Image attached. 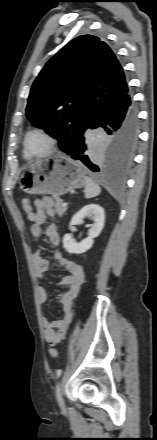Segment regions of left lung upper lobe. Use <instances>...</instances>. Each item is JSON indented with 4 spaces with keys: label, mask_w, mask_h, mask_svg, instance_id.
I'll return each instance as SVG.
<instances>
[{
    "label": "left lung upper lobe",
    "mask_w": 157,
    "mask_h": 440,
    "mask_svg": "<svg viewBox=\"0 0 157 440\" xmlns=\"http://www.w3.org/2000/svg\"><path fill=\"white\" fill-rule=\"evenodd\" d=\"M127 90L110 47L96 36L82 35L46 63L32 85L26 115L68 152L99 109Z\"/></svg>",
    "instance_id": "5c2ea615"
}]
</instances>
